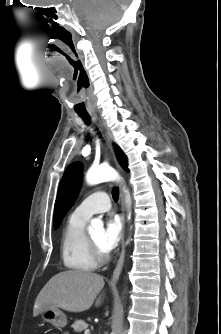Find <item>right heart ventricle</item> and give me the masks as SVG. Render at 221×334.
I'll return each mask as SVG.
<instances>
[{
  "mask_svg": "<svg viewBox=\"0 0 221 334\" xmlns=\"http://www.w3.org/2000/svg\"><path fill=\"white\" fill-rule=\"evenodd\" d=\"M86 222L72 213L62 232V261L66 268L75 272H91L98 266L88 245Z\"/></svg>",
  "mask_w": 221,
  "mask_h": 334,
  "instance_id": "right-heart-ventricle-1",
  "label": "right heart ventricle"
}]
</instances>
